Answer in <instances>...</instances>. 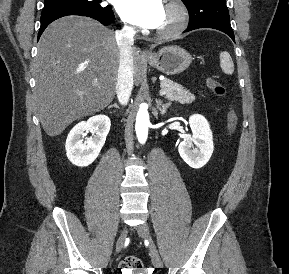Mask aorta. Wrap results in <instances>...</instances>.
<instances>
[{
	"instance_id": "1",
	"label": "aorta",
	"mask_w": 289,
	"mask_h": 274,
	"mask_svg": "<svg viewBox=\"0 0 289 274\" xmlns=\"http://www.w3.org/2000/svg\"><path fill=\"white\" fill-rule=\"evenodd\" d=\"M149 124L150 122L147 106L141 105L137 112L135 125L137 138L141 144L145 143L147 140Z\"/></svg>"
}]
</instances>
